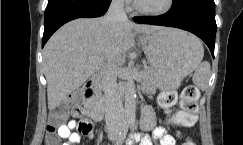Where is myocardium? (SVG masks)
I'll use <instances>...</instances> for the list:
<instances>
[{
    "label": "myocardium",
    "instance_id": "1",
    "mask_svg": "<svg viewBox=\"0 0 243 145\" xmlns=\"http://www.w3.org/2000/svg\"><path fill=\"white\" fill-rule=\"evenodd\" d=\"M174 2H175L174 0H167V4L162 9L150 10L142 7L138 0H134L136 10L142 14L149 15V16H163L169 13L174 6Z\"/></svg>",
    "mask_w": 243,
    "mask_h": 145
}]
</instances>
